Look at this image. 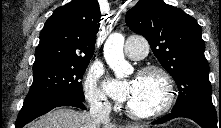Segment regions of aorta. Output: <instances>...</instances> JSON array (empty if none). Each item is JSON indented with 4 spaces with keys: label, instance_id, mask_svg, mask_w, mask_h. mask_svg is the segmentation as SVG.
Returning a JSON list of instances; mask_svg holds the SVG:
<instances>
[{
    "label": "aorta",
    "instance_id": "1",
    "mask_svg": "<svg viewBox=\"0 0 221 128\" xmlns=\"http://www.w3.org/2000/svg\"><path fill=\"white\" fill-rule=\"evenodd\" d=\"M124 41L121 33H113L107 38L103 49L107 64L119 79L133 71L132 66L124 58Z\"/></svg>",
    "mask_w": 221,
    "mask_h": 128
}]
</instances>
